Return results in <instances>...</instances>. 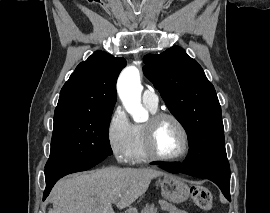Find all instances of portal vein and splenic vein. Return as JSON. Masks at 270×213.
Instances as JSON below:
<instances>
[{
	"mask_svg": "<svg viewBox=\"0 0 270 213\" xmlns=\"http://www.w3.org/2000/svg\"><path fill=\"white\" fill-rule=\"evenodd\" d=\"M112 203L113 204H116L117 203V199L113 200Z\"/></svg>",
	"mask_w": 270,
	"mask_h": 213,
	"instance_id": "obj_1",
	"label": "portal vein and splenic vein"
}]
</instances>
